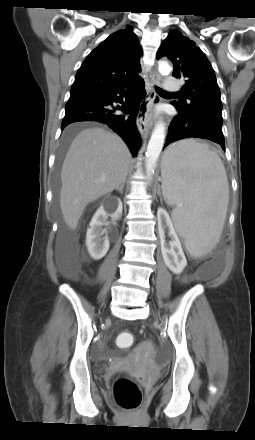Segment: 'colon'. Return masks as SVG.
<instances>
[{
	"label": "colon",
	"mask_w": 255,
	"mask_h": 440,
	"mask_svg": "<svg viewBox=\"0 0 255 440\" xmlns=\"http://www.w3.org/2000/svg\"><path fill=\"white\" fill-rule=\"evenodd\" d=\"M116 343L121 348H128L133 345L134 337L129 332H121L116 337ZM114 399L122 409L134 411L141 405V392L134 381L121 377L114 383Z\"/></svg>",
	"instance_id": "1"
}]
</instances>
